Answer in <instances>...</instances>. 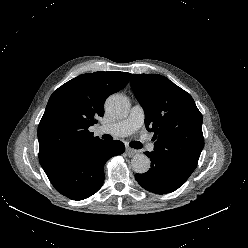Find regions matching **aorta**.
I'll return each mask as SVG.
<instances>
[{
	"label": "aorta",
	"mask_w": 248,
	"mask_h": 248,
	"mask_svg": "<svg viewBox=\"0 0 248 248\" xmlns=\"http://www.w3.org/2000/svg\"><path fill=\"white\" fill-rule=\"evenodd\" d=\"M106 110L113 117L123 118L129 112V101L123 95H112L106 100ZM150 165V159L144 154H137L131 160L132 169L138 174L146 173Z\"/></svg>",
	"instance_id": "obj_1"
}]
</instances>
